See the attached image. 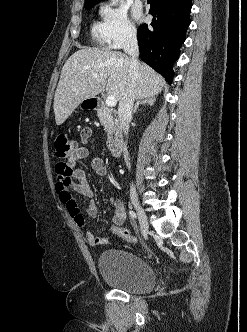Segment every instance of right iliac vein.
Here are the masks:
<instances>
[{
    "label": "right iliac vein",
    "mask_w": 247,
    "mask_h": 332,
    "mask_svg": "<svg viewBox=\"0 0 247 332\" xmlns=\"http://www.w3.org/2000/svg\"><path fill=\"white\" fill-rule=\"evenodd\" d=\"M132 204L134 205V207L137 211L141 228L144 231H147L149 228V224H148V219H147L144 209L140 206V204L137 201H133Z\"/></svg>",
    "instance_id": "63e3f726"
}]
</instances>
